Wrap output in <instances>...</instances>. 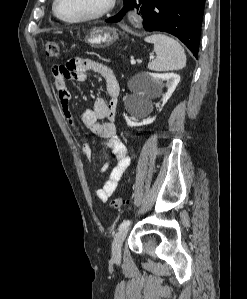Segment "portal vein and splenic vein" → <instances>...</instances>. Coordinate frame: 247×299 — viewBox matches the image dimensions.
I'll use <instances>...</instances> for the list:
<instances>
[{
  "label": "portal vein and splenic vein",
  "mask_w": 247,
  "mask_h": 299,
  "mask_svg": "<svg viewBox=\"0 0 247 299\" xmlns=\"http://www.w3.org/2000/svg\"><path fill=\"white\" fill-rule=\"evenodd\" d=\"M131 64L132 65L136 64V60H134V58H131Z\"/></svg>",
  "instance_id": "1"
}]
</instances>
